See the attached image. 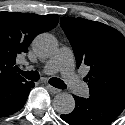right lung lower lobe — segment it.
<instances>
[{"mask_svg":"<svg viewBox=\"0 0 125 125\" xmlns=\"http://www.w3.org/2000/svg\"><path fill=\"white\" fill-rule=\"evenodd\" d=\"M33 82L12 80L0 85V117L16 113L25 104Z\"/></svg>","mask_w":125,"mask_h":125,"instance_id":"1","label":"right lung lower lobe"}]
</instances>
